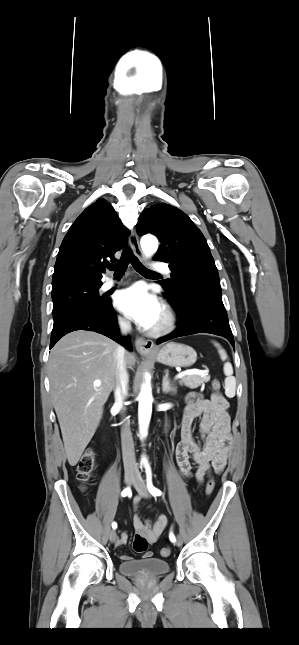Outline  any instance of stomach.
<instances>
[{
	"instance_id": "0dacf381",
	"label": "stomach",
	"mask_w": 299,
	"mask_h": 645,
	"mask_svg": "<svg viewBox=\"0 0 299 645\" xmlns=\"http://www.w3.org/2000/svg\"><path fill=\"white\" fill-rule=\"evenodd\" d=\"M154 358L167 366L190 367L196 362L197 353L188 345L170 342L163 346Z\"/></svg>"
}]
</instances>
